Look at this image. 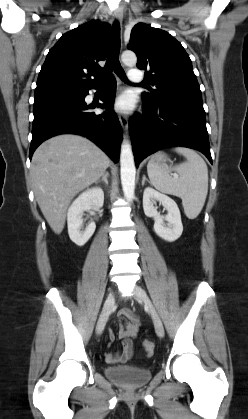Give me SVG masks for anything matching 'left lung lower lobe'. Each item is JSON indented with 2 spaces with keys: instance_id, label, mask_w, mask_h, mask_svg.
I'll return each mask as SVG.
<instances>
[{
  "instance_id": "obj_1",
  "label": "left lung lower lobe",
  "mask_w": 248,
  "mask_h": 419,
  "mask_svg": "<svg viewBox=\"0 0 248 419\" xmlns=\"http://www.w3.org/2000/svg\"><path fill=\"white\" fill-rule=\"evenodd\" d=\"M143 116L129 122L135 164L148 155L172 146L199 150L212 163L202 100L167 99L143 102Z\"/></svg>"
}]
</instances>
